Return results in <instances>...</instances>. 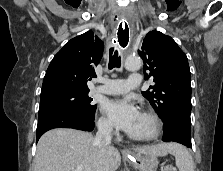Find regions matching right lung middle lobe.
Instances as JSON below:
<instances>
[{"label":"right lung middle lobe","mask_w":223,"mask_h":171,"mask_svg":"<svg viewBox=\"0 0 223 171\" xmlns=\"http://www.w3.org/2000/svg\"><path fill=\"white\" fill-rule=\"evenodd\" d=\"M89 91H69L40 98L39 116L53 110L71 109L94 117L97 105L91 103Z\"/></svg>","instance_id":"right-lung-middle-lobe-1"}]
</instances>
